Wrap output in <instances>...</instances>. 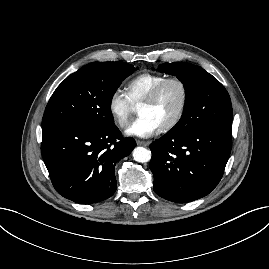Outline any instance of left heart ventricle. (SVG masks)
Segmentation results:
<instances>
[{
	"label": "left heart ventricle",
	"instance_id": "obj_1",
	"mask_svg": "<svg viewBox=\"0 0 269 269\" xmlns=\"http://www.w3.org/2000/svg\"><path fill=\"white\" fill-rule=\"evenodd\" d=\"M182 102V91L178 84L167 85L158 99L151 105H140L139 115H147L153 118L160 127L169 123L177 114Z\"/></svg>",
	"mask_w": 269,
	"mask_h": 269
}]
</instances>
